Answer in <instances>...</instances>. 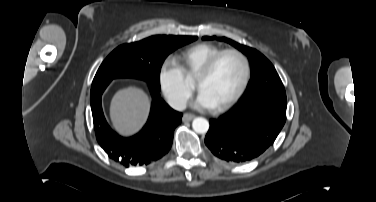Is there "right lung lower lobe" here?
I'll list each match as a JSON object with an SVG mask.
<instances>
[{
	"mask_svg": "<svg viewBox=\"0 0 376 202\" xmlns=\"http://www.w3.org/2000/svg\"><path fill=\"white\" fill-rule=\"evenodd\" d=\"M111 80L92 85L90 102L96 139L108 156L125 167L148 165L171 148L174 129L181 123L182 113L170 108L158 88L149 84L153 98L149 119L143 129L130 138L116 134L107 124L101 96Z\"/></svg>",
	"mask_w": 376,
	"mask_h": 202,
	"instance_id": "obj_1",
	"label": "right lung lower lobe"
}]
</instances>
